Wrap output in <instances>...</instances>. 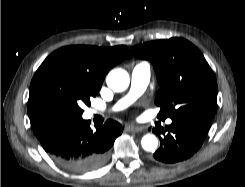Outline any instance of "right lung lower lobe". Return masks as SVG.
Returning <instances> with one entry per match:
<instances>
[{
  "label": "right lung lower lobe",
  "mask_w": 245,
  "mask_h": 187,
  "mask_svg": "<svg viewBox=\"0 0 245 187\" xmlns=\"http://www.w3.org/2000/svg\"><path fill=\"white\" fill-rule=\"evenodd\" d=\"M80 117H59L34 127V134L48 155L63 168L87 172L99 168L108 157L122 126L108 120L103 126L90 128Z\"/></svg>",
  "instance_id": "right-lung-lower-lobe-1"
}]
</instances>
